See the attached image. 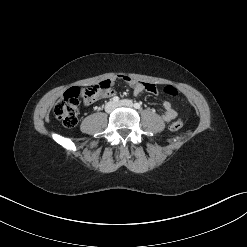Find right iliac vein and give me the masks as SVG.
I'll list each match as a JSON object with an SVG mask.
<instances>
[{"instance_id": "obj_1", "label": "right iliac vein", "mask_w": 247, "mask_h": 247, "mask_svg": "<svg viewBox=\"0 0 247 247\" xmlns=\"http://www.w3.org/2000/svg\"><path fill=\"white\" fill-rule=\"evenodd\" d=\"M116 108V104L114 102H108L105 106V110L108 113H111Z\"/></svg>"}]
</instances>
